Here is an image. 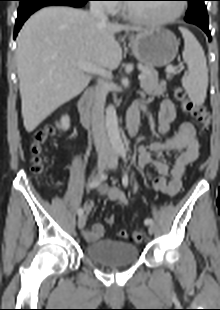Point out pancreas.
<instances>
[{"instance_id":"obj_1","label":"pancreas","mask_w":220,"mask_h":310,"mask_svg":"<svg viewBox=\"0 0 220 310\" xmlns=\"http://www.w3.org/2000/svg\"><path fill=\"white\" fill-rule=\"evenodd\" d=\"M145 79L140 81V87L149 96H163L166 92V82L158 80V72L152 67H145ZM167 78H171L168 73Z\"/></svg>"}]
</instances>
